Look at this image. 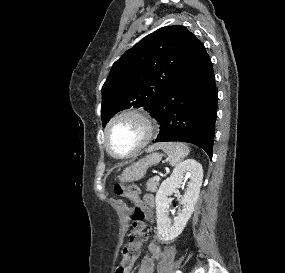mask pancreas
<instances>
[{"instance_id": "cf45deb5", "label": "pancreas", "mask_w": 285, "mask_h": 273, "mask_svg": "<svg viewBox=\"0 0 285 273\" xmlns=\"http://www.w3.org/2000/svg\"><path fill=\"white\" fill-rule=\"evenodd\" d=\"M158 185H159V180H155L154 178H151L146 183V190L150 192H156Z\"/></svg>"}]
</instances>
